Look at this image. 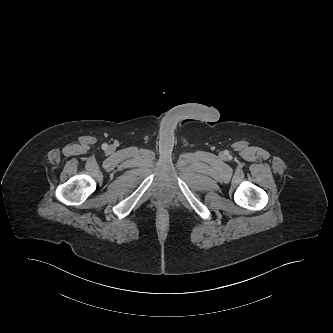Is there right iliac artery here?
<instances>
[{
    "label": "right iliac artery",
    "instance_id": "1",
    "mask_svg": "<svg viewBox=\"0 0 333 333\" xmlns=\"http://www.w3.org/2000/svg\"><path fill=\"white\" fill-rule=\"evenodd\" d=\"M104 148H106L107 146L106 145H103Z\"/></svg>",
    "mask_w": 333,
    "mask_h": 333
}]
</instances>
